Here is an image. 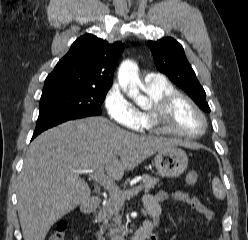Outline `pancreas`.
<instances>
[{
    "mask_svg": "<svg viewBox=\"0 0 248 240\" xmlns=\"http://www.w3.org/2000/svg\"><path fill=\"white\" fill-rule=\"evenodd\" d=\"M128 181H130L128 179ZM159 179L154 178L148 174H144L142 176V188L145 192H148L149 190L153 189L155 185L158 183ZM125 190H119L116 194L111 195L109 200L105 205H103L100 209L98 214L95 216V222H102L103 225L101 226L100 233H97L98 240H105V237L103 236V231L108 226L109 220L114 216L113 221L115 222V233H120L121 235L125 234V229L121 226V219L118 213L119 208L124 203V196ZM111 234H107L106 236H110Z\"/></svg>",
    "mask_w": 248,
    "mask_h": 240,
    "instance_id": "pancreas-1",
    "label": "pancreas"
}]
</instances>
